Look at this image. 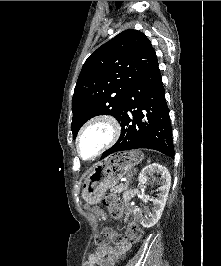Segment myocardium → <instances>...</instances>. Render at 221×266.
Here are the masks:
<instances>
[{"instance_id": "f54148a6", "label": "myocardium", "mask_w": 221, "mask_h": 266, "mask_svg": "<svg viewBox=\"0 0 221 266\" xmlns=\"http://www.w3.org/2000/svg\"><path fill=\"white\" fill-rule=\"evenodd\" d=\"M98 123H104L106 124L110 129V136L109 139L106 141V143L91 157L85 158L80 152V140L84 133L93 125ZM121 132V126L117 119L111 115L108 114H99L92 118H90L80 129L76 140H75V149L77 155L85 161H92L95 160L97 157H99L104 151H106L109 147H111L116 140L118 139Z\"/></svg>"}]
</instances>
